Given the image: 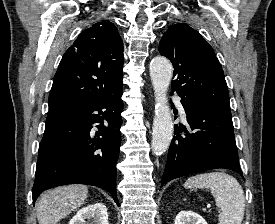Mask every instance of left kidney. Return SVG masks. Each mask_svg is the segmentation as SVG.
Returning a JSON list of instances; mask_svg holds the SVG:
<instances>
[{"instance_id":"1","label":"left kidney","mask_w":275,"mask_h":224,"mask_svg":"<svg viewBox=\"0 0 275 224\" xmlns=\"http://www.w3.org/2000/svg\"><path fill=\"white\" fill-rule=\"evenodd\" d=\"M175 224H208L203 217L193 211H180L176 218Z\"/></svg>"}]
</instances>
